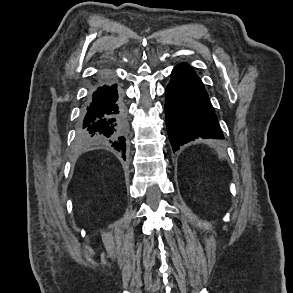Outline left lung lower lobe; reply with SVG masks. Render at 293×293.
Segmentation results:
<instances>
[{
    "label": "left lung lower lobe",
    "instance_id": "1",
    "mask_svg": "<svg viewBox=\"0 0 293 293\" xmlns=\"http://www.w3.org/2000/svg\"><path fill=\"white\" fill-rule=\"evenodd\" d=\"M165 112L173 152L196 138L224 139L204 85L188 64H179L171 73Z\"/></svg>",
    "mask_w": 293,
    "mask_h": 293
}]
</instances>
